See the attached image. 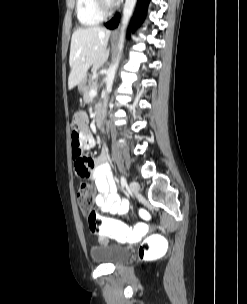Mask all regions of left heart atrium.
Here are the masks:
<instances>
[{
	"label": "left heart atrium",
	"mask_w": 247,
	"mask_h": 304,
	"mask_svg": "<svg viewBox=\"0 0 247 304\" xmlns=\"http://www.w3.org/2000/svg\"><path fill=\"white\" fill-rule=\"evenodd\" d=\"M112 3L118 2L119 0H110Z\"/></svg>",
	"instance_id": "left-heart-atrium-1"
}]
</instances>
